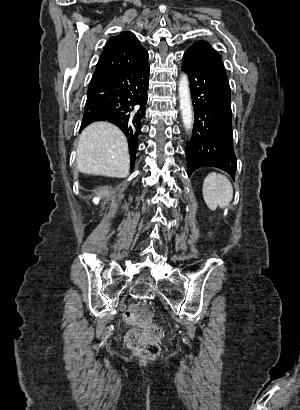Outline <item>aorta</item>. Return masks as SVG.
Instances as JSON below:
<instances>
[{
  "label": "aorta",
  "mask_w": 300,
  "mask_h": 410,
  "mask_svg": "<svg viewBox=\"0 0 300 410\" xmlns=\"http://www.w3.org/2000/svg\"><path fill=\"white\" fill-rule=\"evenodd\" d=\"M178 93L180 98V109L182 122L187 131H191L193 127V109L191 102V94L189 80L186 74H182L179 80Z\"/></svg>",
  "instance_id": "obj_1"
}]
</instances>
